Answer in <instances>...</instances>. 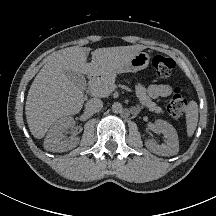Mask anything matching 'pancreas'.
Listing matches in <instances>:
<instances>
[{"label": "pancreas", "instance_id": "cf45deb5", "mask_svg": "<svg viewBox=\"0 0 216 216\" xmlns=\"http://www.w3.org/2000/svg\"><path fill=\"white\" fill-rule=\"evenodd\" d=\"M115 77L113 75H102L94 79L90 85L89 89L93 96L97 97H107L112 93L115 88ZM136 96L139 99L140 103L147 107L150 111L155 113H162V108L157 106L146 93L145 87L138 84L136 86Z\"/></svg>", "mask_w": 216, "mask_h": 216}]
</instances>
